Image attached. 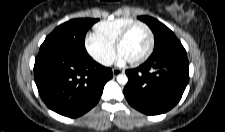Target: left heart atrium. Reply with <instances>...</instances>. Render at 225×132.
<instances>
[{
	"mask_svg": "<svg viewBox=\"0 0 225 132\" xmlns=\"http://www.w3.org/2000/svg\"><path fill=\"white\" fill-rule=\"evenodd\" d=\"M117 60H118L119 63H124V62L127 61V59L121 54L118 55Z\"/></svg>",
	"mask_w": 225,
	"mask_h": 132,
	"instance_id": "1",
	"label": "left heart atrium"
}]
</instances>
